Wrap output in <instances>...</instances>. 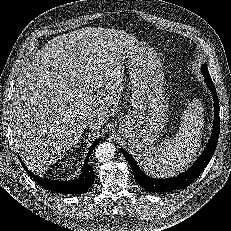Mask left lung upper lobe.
Instances as JSON below:
<instances>
[{
    "instance_id": "left-lung-upper-lobe-1",
    "label": "left lung upper lobe",
    "mask_w": 231,
    "mask_h": 231,
    "mask_svg": "<svg viewBox=\"0 0 231 231\" xmlns=\"http://www.w3.org/2000/svg\"><path fill=\"white\" fill-rule=\"evenodd\" d=\"M201 72H202L203 76H209L210 77V74H209V72L207 70V65L206 64H203L201 66Z\"/></svg>"
}]
</instances>
